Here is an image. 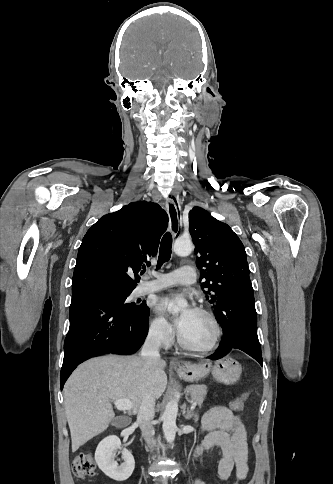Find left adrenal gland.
Segmentation results:
<instances>
[{
    "label": "left adrenal gland",
    "instance_id": "a2214340",
    "mask_svg": "<svg viewBox=\"0 0 333 484\" xmlns=\"http://www.w3.org/2000/svg\"><path fill=\"white\" fill-rule=\"evenodd\" d=\"M183 415H184L185 419H187V420L193 418L195 421H197L199 419V415L197 413H193L189 410H187V413H186L185 408L183 409Z\"/></svg>",
    "mask_w": 333,
    "mask_h": 484
}]
</instances>
